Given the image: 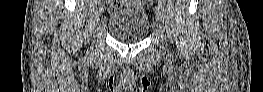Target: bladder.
<instances>
[{"mask_svg": "<svg viewBox=\"0 0 263 92\" xmlns=\"http://www.w3.org/2000/svg\"><path fill=\"white\" fill-rule=\"evenodd\" d=\"M132 6L112 13L106 23L110 35L117 41L137 42L149 31L145 12L137 1H130Z\"/></svg>", "mask_w": 263, "mask_h": 92, "instance_id": "bladder-1", "label": "bladder"}]
</instances>
